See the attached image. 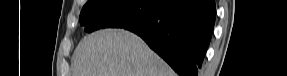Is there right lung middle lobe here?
I'll return each mask as SVG.
<instances>
[{
    "mask_svg": "<svg viewBox=\"0 0 287 76\" xmlns=\"http://www.w3.org/2000/svg\"><path fill=\"white\" fill-rule=\"evenodd\" d=\"M161 0H90L82 8L79 22L90 33L102 28H125L151 17Z\"/></svg>",
    "mask_w": 287,
    "mask_h": 76,
    "instance_id": "obj_1",
    "label": "right lung middle lobe"
}]
</instances>
